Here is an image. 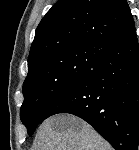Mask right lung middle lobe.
I'll use <instances>...</instances> for the list:
<instances>
[{
    "label": "right lung middle lobe",
    "instance_id": "dd1d6c3e",
    "mask_svg": "<svg viewBox=\"0 0 139 150\" xmlns=\"http://www.w3.org/2000/svg\"><path fill=\"white\" fill-rule=\"evenodd\" d=\"M109 47L92 45L62 51L28 72L23 84L20 116L29 135L42 122L57 97L86 75Z\"/></svg>",
    "mask_w": 139,
    "mask_h": 150
}]
</instances>
